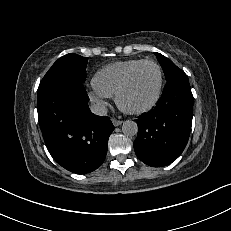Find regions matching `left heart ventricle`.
Segmentation results:
<instances>
[{
  "label": "left heart ventricle",
  "instance_id": "b2bd125f",
  "mask_svg": "<svg viewBox=\"0 0 231 231\" xmlns=\"http://www.w3.org/2000/svg\"><path fill=\"white\" fill-rule=\"evenodd\" d=\"M158 85V71L152 64H145L134 74L133 79L125 91L122 102L130 108L136 109L148 104L155 95Z\"/></svg>",
  "mask_w": 231,
  "mask_h": 231
}]
</instances>
